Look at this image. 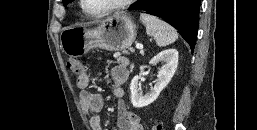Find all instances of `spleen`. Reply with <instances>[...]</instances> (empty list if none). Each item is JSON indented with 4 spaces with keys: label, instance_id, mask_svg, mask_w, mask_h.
Returning <instances> with one entry per match:
<instances>
[{
    "label": "spleen",
    "instance_id": "3e777b00",
    "mask_svg": "<svg viewBox=\"0 0 257 130\" xmlns=\"http://www.w3.org/2000/svg\"><path fill=\"white\" fill-rule=\"evenodd\" d=\"M140 21L146 26L147 34L152 36L160 47L172 44L178 38L177 31L156 16L141 13Z\"/></svg>",
    "mask_w": 257,
    "mask_h": 130
}]
</instances>
